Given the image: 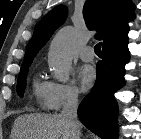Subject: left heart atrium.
Masks as SVG:
<instances>
[{
    "label": "left heart atrium",
    "mask_w": 141,
    "mask_h": 139,
    "mask_svg": "<svg viewBox=\"0 0 141 139\" xmlns=\"http://www.w3.org/2000/svg\"><path fill=\"white\" fill-rule=\"evenodd\" d=\"M78 81L82 91H89L96 81V71L89 65L82 66L77 73Z\"/></svg>",
    "instance_id": "1"
}]
</instances>
